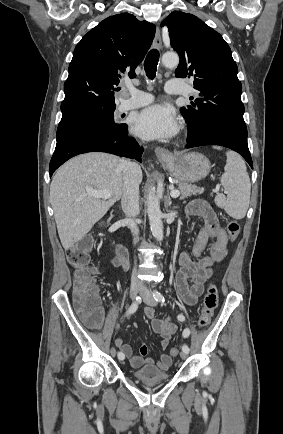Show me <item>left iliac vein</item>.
<instances>
[{"label":"left iliac vein","mask_w":283,"mask_h":434,"mask_svg":"<svg viewBox=\"0 0 283 434\" xmlns=\"http://www.w3.org/2000/svg\"><path fill=\"white\" fill-rule=\"evenodd\" d=\"M140 288L142 290L143 301L149 306H156L157 302H156L155 298L148 292L146 285L142 283V284H140ZM180 357L183 360H185L188 357V353L182 351L180 353Z\"/></svg>","instance_id":"4c4485c4"}]
</instances>
